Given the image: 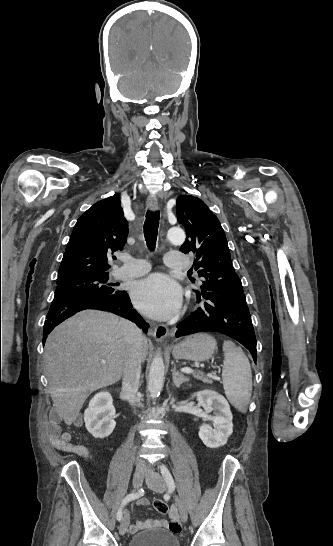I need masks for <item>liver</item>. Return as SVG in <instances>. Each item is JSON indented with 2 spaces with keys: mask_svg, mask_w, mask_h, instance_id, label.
<instances>
[{
  "mask_svg": "<svg viewBox=\"0 0 333 546\" xmlns=\"http://www.w3.org/2000/svg\"><path fill=\"white\" fill-rule=\"evenodd\" d=\"M125 354L123 328L111 313L78 312L49 334L45 372L54 407L67 425L77 419L92 391L121 378ZM147 354L148 343L143 337L142 361Z\"/></svg>",
  "mask_w": 333,
  "mask_h": 546,
  "instance_id": "liver-1",
  "label": "liver"
}]
</instances>
